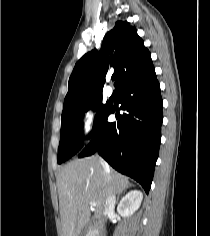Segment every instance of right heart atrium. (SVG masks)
I'll use <instances>...</instances> for the list:
<instances>
[{
	"mask_svg": "<svg viewBox=\"0 0 210 236\" xmlns=\"http://www.w3.org/2000/svg\"><path fill=\"white\" fill-rule=\"evenodd\" d=\"M98 124V111L94 105H88L81 114L82 131L85 137L91 138Z\"/></svg>",
	"mask_w": 210,
	"mask_h": 236,
	"instance_id": "right-heart-atrium-1",
	"label": "right heart atrium"
}]
</instances>
